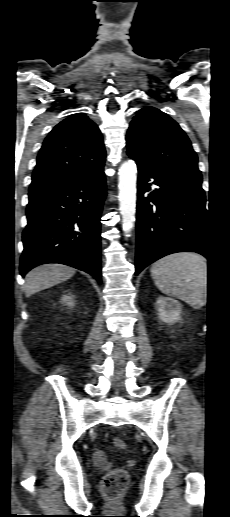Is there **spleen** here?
Returning a JSON list of instances; mask_svg holds the SVG:
<instances>
[{
    "instance_id": "obj_1",
    "label": "spleen",
    "mask_w": 230,
    "mask_h": 517,
    "mask_svg": "<svg viewBox=\"0 0 230 517\" xmlns=\"http://www.w3.org/2000/svg\"><path fill=\"white\" fill-rule=\"evenodd\" d=\"M151 275L158 289L200 308L207 301V262L195 253L166 256L151 267Z\"/></svg>"
}]
</instances>
